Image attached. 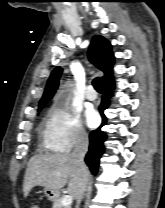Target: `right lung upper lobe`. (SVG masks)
Listing matches in <instances>:
<instances>
[{
  "instance_id": "1",
  "label": "right lung upper lobe",
  "mask_w": 165,
  "mask_h": 208,
  "mask_svg": "<svg viewBox=\"0 0 165 208\" xmlns=\"http://www.w3.org/2000/svg\"><path fill=\"white\" fill-rule=\"evenodd\" d=\"M88 56L90 61L98 69L104 72V76L101 78L102 84L112 78V66L114 63V56L111 52V44L109 41H107L102 36H94L89 47ZM61 73V67H56L52 71L48 79L44 94L40 100V107L46 104L53 97L55 91L58 88Z\"/></svg>"
}]
</instances>
